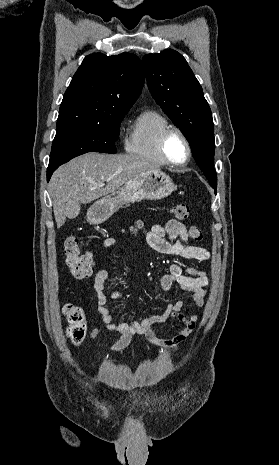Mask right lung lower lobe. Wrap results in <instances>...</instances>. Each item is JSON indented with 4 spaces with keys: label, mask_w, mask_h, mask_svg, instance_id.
Here are the masks:
<instances>
[{
    "label": "right lung lower lobe",
    "mask_w": 279,
    "mask_h": 465,
    "mask_svg": "<svg viewBox=\"0 0 279 465\" xmlns=\"http://www.w3.org/2000/svg\"><path fill=\"white\" fill-rule=\"evenodd\" d=\"M58 166H48V169H47V181H49L52 173L57 169Z\"/></svg>",
    "instance_id": "98d812e1"
}]
</instances>
